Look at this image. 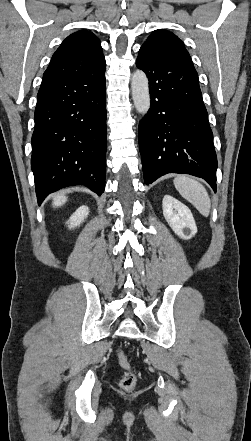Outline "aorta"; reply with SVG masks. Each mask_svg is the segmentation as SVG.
Here are the masks:
<instances>
[{"label": "aorta", "mask_w": 251, "mask_h": 441, "mask_svg": "<svg viewBox=\"0 0 251 441\" xmlns=\"http://www.w3.org/2000/svg\"><path fill=\"white\" fill-rule=\"evenodd\" d=\"M132 98L138 113L146 114L150 108L149 84L146 74L137 70L131 81Z\"/></svg>", "instance_id": "1"}]
</instances>
